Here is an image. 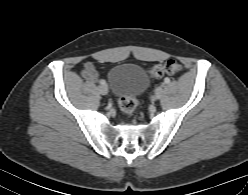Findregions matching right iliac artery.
Returning a JSON list of instances; mask_svg holds the SVG:
<instances>
[{"label":"right iliac artery","instance_id":"82829eb1","mask_svg":"<svg viewBox=\"0 0 248 195\" xmlns=\"http://www.w3.org/2000/svg\"><path fill=\"white\" fill-rule=\"evenodd\" d=\"M100 83H101L102 85H105V81H104V80H101Z\"/></svg>","mask_w":248,"mask_h":195}]
</instances>
